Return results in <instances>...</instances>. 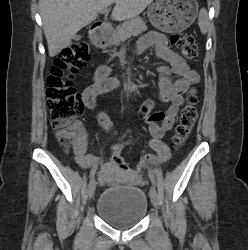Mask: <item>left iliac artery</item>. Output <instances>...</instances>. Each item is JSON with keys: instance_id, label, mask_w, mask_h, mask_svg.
<instances>
[{"instance_id": "left-iliac-artery-1", "label": "left iliac artery", "mask_w": 248, "mask_h": 250, "mask_svg": "<svg viewBox=\"0 0 248 250\" xmlns=\"http://www.w3.org/2000/svg\"><path fill=\"white\" fill-rule=\"evenodd\" d=\"M150 179H151L152 184H153V185H155V184H156V182H155V178H154V176H153V175H150Z\"/></svg>"}]
</instances>
